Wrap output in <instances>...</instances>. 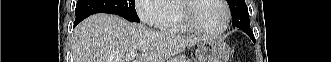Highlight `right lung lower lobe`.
<instances>
[{
	"mask_svg": "<svg viewBox=\"0 0 331 62\" xmlns=\"http://www.w3.org/2000/svg\"><path fill=\"white\" fill-rule=\"evenodd\" d=\"M77 24H78V22H76V21H75V24H74V26H75V25H77Z\"/></svg>",
	"mask_w": 331,
	"mask_h": 62,
	"instance_id": "right-lung-lower-lobe-1",
	"label": "right lung lower lobe"
}]
</instances>
